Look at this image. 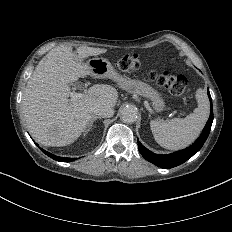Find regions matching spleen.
<instances>
[{
    "label": "spleen",
    "mask_w": 232,
    "mask_h": 232,
    "mask_svg": "<svg viewBox=\"0 0 232 232\" xmlns=\"http://www.w3.org/2000/svg\"><path fill=\"white\" fill-rule=\"evenodd\" d=\"M198 107L185 118L170 121L152 120L151 130L155 141L163 148L178 150L192 144L200 135L209 117L210 105L207 93L199 88L196 91Z\"/></svg>",
    "instance_id": "3e777b00"
}]
</instances>
